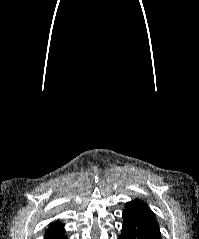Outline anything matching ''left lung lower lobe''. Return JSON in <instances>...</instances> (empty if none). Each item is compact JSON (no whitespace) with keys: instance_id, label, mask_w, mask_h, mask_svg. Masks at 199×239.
Returning a JSON list of instances; mask_svg holds the SVG:
<instances>
[{"instance_id":"left-lung-lower-lobe-1","label":"left lung lower lobe","mask_w":199,"mask_h":239,"mask_svg":"<svg viewBox=\"0 0 199 239\" xmlns=\"http://www.w3.org/2000/svg\"><path fill=\"white\" fill-rule=\"evenodd\" d=\"M118 239H161V234L156 223L134 211L125 210Z\"/></svg>"}]
</instances>
